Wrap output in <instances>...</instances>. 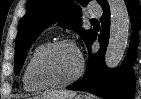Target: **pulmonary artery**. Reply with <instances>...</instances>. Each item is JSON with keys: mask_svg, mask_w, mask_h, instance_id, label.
<instances>
[{"mask_svg": "<svg viewBox=\"0 0 141 99\" xmlns=\"http://www.w3.org/2000/svg\"><path fill=\"white\" fill-rule=\"evenodd\" d=\"M90 14L93 16H99L101 14L100 9L96 8V7H91L89 10Z\"/></svg>", "mask_w": 141, "mask_h": 99, "instance_id": "pulmonary-artery-1", "label": "pulmonary artery"}]
</instances>
